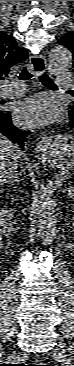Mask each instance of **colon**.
<instances>
[{
  "mask_svg": "<svg viewBox=\"0 0 74 366\" xmlns=\"http://www.w3.org/2000/svg\"><path fill=\"white\" fill-rule=\"evenodd\" d=\"M32 366H50L48 363H44V362H36L35 365Z\"/></svg>",
  "mask_w": 74,
  "mask_h": 366,
  "instance_id": "obj_1",
  "label": "colon"
}]
</instances>
